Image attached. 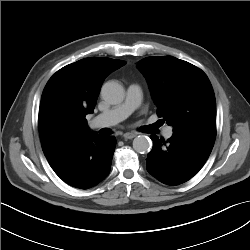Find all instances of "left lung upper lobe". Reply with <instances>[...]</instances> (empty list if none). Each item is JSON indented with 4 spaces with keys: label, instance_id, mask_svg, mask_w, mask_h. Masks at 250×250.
I'll use <instances>...</instances> for the list:
<instances>
[{
    "label": "left lung upper lobe",
    "instance_id": "left-lung-upper-lobe-1",
    "mask_svg": "<svg viewBox=\"0 0 250 250\" xmlns=\"http://www.w3.org/2000/svg\"><path fill=\"white\" fill-rule=\"evenodd\" d=\"M150 87L157 114L173 132L216 133L215 95L206 74L172 56H151L137 65Z\"/></svg>",
    "mask_w": 250,
    "mask_h": 250
}]
</instances>
